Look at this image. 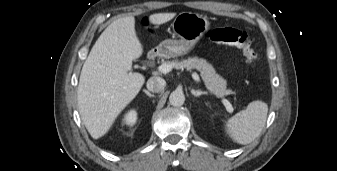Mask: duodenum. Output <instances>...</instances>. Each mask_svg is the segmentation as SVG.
I'll list each match as a JSON object with an SVG mask.
<instances>
[{
  "label": "duodenum",
  "instance_id": "410a0bca",
  "mask_svg": "<svg viewBox=\"0 0 337 171\" xmlns=\"http://www.w3.org/2000/svg\"><path fill=\"white\" fill-rule=\"evenodd\" d=\"M162 54V50L159 48H154L150 50L148 53V60L150 62H154L160 55Z\"/></svg>",
  "mask_w": 337,
  "mask_h": 171
}]
</instances>
